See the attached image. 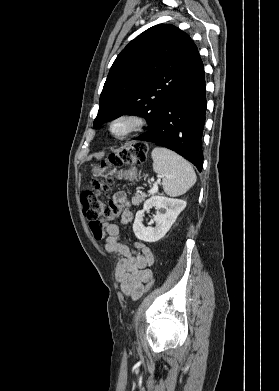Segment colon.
Wrapping results in <instances>:
<instances>
[{
  "instance_id": "obj_1",
  "label": "colon",
  "mask_w": 279,
  "mask_h": 391,
  "mask_svg": "<svg viewBox=\"0 0 279 391\" xmlns=\"http://www.w3.org/2000/svg\"><path fill=\"white\" fill-rule=\"evenodd\" d=\"M147 152L148 146L146 144L135 142L113 154L110 162L117 166L142 163L146 160ZM91 187L92 190L82 193L81 203L93 236L100 240L104 235L103 222L106 219L117 217L121 212V207L105 199L110 188L108 182L92 179ZM153 284L154 279L151 277L145 284L144 293L148 292Z\"/></svg>"
}]
</instances>
